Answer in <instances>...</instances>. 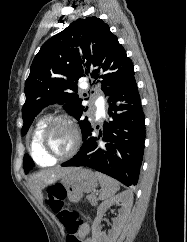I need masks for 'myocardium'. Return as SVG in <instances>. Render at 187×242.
<instances>
[{"label": "myocardium", "mask_w": 187, "mask_h": 242, "mask_svg": "<svg viewBox=\"0 0 187 242\" xmlns=\"http://www.w3.org/2000/svg\"><path fill=\"white\" fill-rule=\"evenodd\" d=\"M58 123H63V124L68 125L71 128L73 137H74L73 145L70 148V150L61 155L51 154L47 150L46 144H45L48 133L50 132L52 127ZM80 146H81V133H80L79 127H78L77 123L74 121V119H72L71 117H69L67 115H57V116L49 119L47 121L46 125L44 126V128L40 134V138H39V147H40L43 155L54 161L65 160V159L72 157L73 155H75L77 153Z\"/></svg>", "instance_id": "myocardium-1"}]
</instances>
